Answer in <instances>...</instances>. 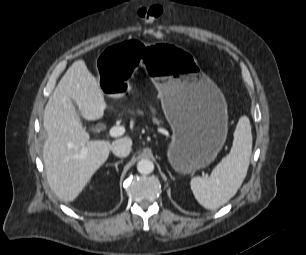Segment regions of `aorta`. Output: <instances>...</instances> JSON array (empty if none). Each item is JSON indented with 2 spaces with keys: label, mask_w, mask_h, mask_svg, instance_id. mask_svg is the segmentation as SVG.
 I'll return each mask as SVG.
<instances>
[{
  "label": "aorta",
  "mask_w": 306,
  "mask_h": 255,
  "mask_svg": "<svg viewBox=\"0 0 306 255\" xmlns=\"http://www.w3.org/2000/svg\"><path fill=\"white\" fill-rule=\"evenodd\" d=\"M137 170L141 174H150L154 170V164L149 159H141L137 163Z\"/></svg>",
  "instance_id": "762f6f07"
}]
</instances>
